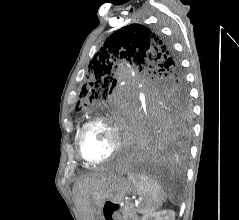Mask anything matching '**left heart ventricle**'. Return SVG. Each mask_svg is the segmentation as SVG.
<instances>
[{"label": "left heart ventricle", "mask_w": 239, "mask_h": 220, "mask_svg": "<svg viewBox=\"0 0 239 220\" xmlns=\"http://www.w3.org/2000/svg\"><path fill=\"white\" fill-rule=\"evenodd\" d=\"M115 145L112 129L106 124H96L85 134L83 139V153L92 161H98L111 154Z\"/></svg>", "instance_id": "left-heart-ventricle-1"}]
</instances>
